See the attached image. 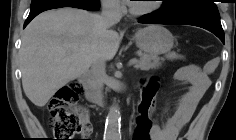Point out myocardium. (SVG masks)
Listing matches in <instances>:
<instances>
[{
	"mask_svg": "<svg viewBox=\"0 0 236 140\" xmlns=\"http://www.w3.org/2000/svg\"><path fill=\"white\" fill-rule=\"evenodd\" d=\"M160 7L161 4L159 2L153 3L147 7H142V8L136 7L134 4H130L129 10L134 15L143 16L157 11Z\"/></svg>",
	"mask_w": 236,
	"mask_h": 140,
	"instance_id": "f54148a6",
	"label": "myocardium"
}]
</instances>
